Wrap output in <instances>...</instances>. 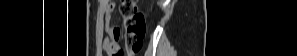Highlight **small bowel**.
<instances>
[{"mask_svg":"<svg viewBox=\"0 0 297 56\" xmlns=\"http://www.w3.org/2000/svg\"><path fill=\"white\" fill-rule=\"evenodd\" d=\"M114 5L109 3L106 7L105 29L107 36L104 38L102 46L103 50L110 56H114L115 52L121 50L119 41L121 37V30L117 27L111 26L112 13Z\"/></svg>","mask_w":297,"mask_h":56,"instance_id":"small-bowel-1","label":"small bowel"}]
</instances>
